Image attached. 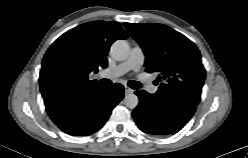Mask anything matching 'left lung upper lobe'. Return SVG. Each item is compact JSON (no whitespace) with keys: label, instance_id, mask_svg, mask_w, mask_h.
I'll list each match as a JSON object with an SVG mask.
<instances>
[{"label":"left lung upper lobe","instance_id":"1","mask_svg":"<svg viewBox=\"0 0 248 158\" xmlns=\"http://www.w3.org/2000/svg\"><path fill=\"white\" fill-rule=\"evenodd\" d=\"M146 56L148 73L162 81L156 96L197 106L206 73L197 46L181 33L163 24L124 23Z\"/></svg>","mask_w":248,"mask_h":158}]
</instances>
